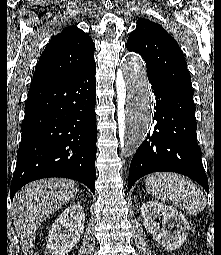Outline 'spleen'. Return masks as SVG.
Here are the masks:
<instances>
[{"label": "spleen", "instance_id": "1", "mask_svg": "<svg viewBox=\"0 0 221 255\" xmlns=\"http://www.w3.org/2000/svg\"><path fill=\"white\" fill-rule=\"evenodd\" d=\"M146 189L155 198L169 200L189 214H198L206 206V198L189 179L175 173H154L146 178Z\"/></svg>", "mask_w": 221, "mask_h": 255}]
</instances>
